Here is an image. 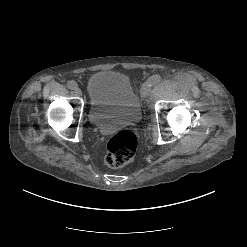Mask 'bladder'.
<instances>
[{"mask_svg":"<svg viewBox=\"0 0 247 247\" xmlns=\"http://www.w3.org/2000/svg\"><path fill=\"white\" fill-rule=\"evenodd\" d=\"M88 118L102 132L130 125L140 115V100L130 79L122 73L101 71L87 82Z\"/></svg>","mask_w":247,"mask_h":247,"instance_id":"1","label":"bladder"}]
</instances>
